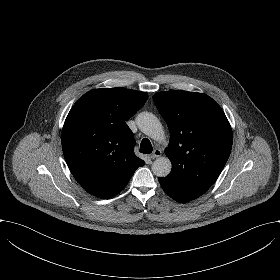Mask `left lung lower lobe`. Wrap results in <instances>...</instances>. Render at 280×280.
I'll use <instances>...</instances> for the list:
<instances>
[{"mask_svg": "<svg viewBox=\"0 0 280 280\" xmlns=\"http://www.w3.org/2000/svg\"><path fill=\"white\" fill-rule=\"evenodd\" d=\"M160 182V181H159ZM163 190L166 192L167 195H169L172 199L176 200L177 202L180 203H186L191 200H194L198 198L201 195H182V194H177L175 192H172L171 187L169 185L163 184L160 182Z\"/></svg>", "mask_w": 280, "mask_h": 280, "instance_id": "left-lung-lower-lobe-1", "label": "left lung lower lobe"}]
</instances>
